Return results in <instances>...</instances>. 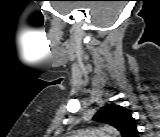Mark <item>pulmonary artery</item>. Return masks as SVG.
<instances>
[{"label": "pulmonary artery", "instance_id": "e3ab8cb5", "mask_svg": "<svg viewBox=\"0 0 160 137\" xmlns=\"http://www.w3.org/2000/svg\"><path fill=\"white\" fill-rule=\"evenodd\" d=\"M75 137H107L103 132L98 130L83 131L75 135Z\"/></svg>", "mask_w": 160, "mask_h": 137}]
</instances>
